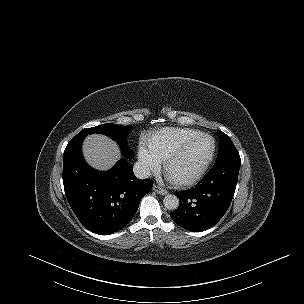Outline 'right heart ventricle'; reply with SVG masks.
I'll return each instance as SVG.
<instances>
[{
	"label": "right heart ventricle",
	"mask_w": 304,
	"mask_h": 304,
	"mask_svg": "<svg viewBox=\"0 0 304 304\" xmlns=\"http://www.w3.org/2000/svg\"><path fill=\"white\" fill-rule=\"evenodd\" d=\"M200 133V131L191 128H161L152 134L150 146L161 159H165Z\"/></svg>",
	"instance_id": "right-heart-ventricle-1"
}]
</instances>
